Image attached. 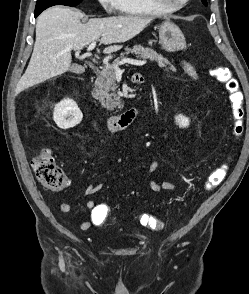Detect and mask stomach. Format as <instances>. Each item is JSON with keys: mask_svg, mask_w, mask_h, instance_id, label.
Segmentation results:
<instances>
[{"mask_svg": "<svg viewBox=\"0 0 249 294\" xmlns=\"http://www.w3.org/2000/svg\"><path fill=\"white\" fill-rule=\"evenodd\" d=\"M159 43L163 49L169 52L180 51L186 47L182 31L170 21H165L160 25Z\"/></svg>", "mask_w": 249, "mask_h": 294, "instance_id": "stomach-1", "label": "stomach"}]
</instances>
